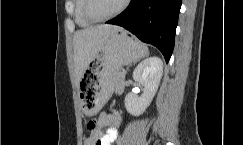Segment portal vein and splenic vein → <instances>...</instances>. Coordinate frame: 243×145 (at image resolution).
Instances as JSON below:
<instances>
[{"label": "portal vein and splenic vein", "instance_id": "obj_1", "mask_svg": "<svg viewBox=\"0 0 243 145\" xmlns=\"http://www.w3.org/2000/svg\"><path fill=\"white\" fill-rule=\"evenodd\" d=\"M122 76H125V73H121Z\"/></svg>", "mask_w": 243, "mask_h": 145}]
</instances>
